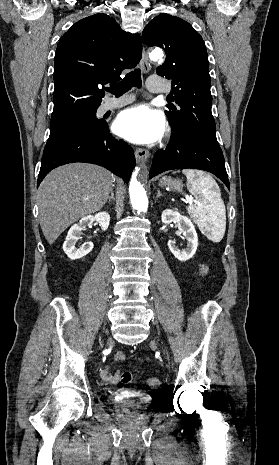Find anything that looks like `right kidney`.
Instances as JSON below:
<instances>
[{"mask_svg": "<svg viewBox=\"0 0 279 465\" xmlns=\"http://www.w3.org/2000/svg\"><path fill=\"white\" fill-rule=\"evenodd\" d=\"M95 221L98 222L101 229L105 231L109 226L110 215L107 212H99L94 216L88 215L81 218L78 223L74 224L69 229L63 244V250L71 260L80 259L93 249L92 242H87L80 248H77L75 245L77 240L80 238L82 231L91 226Z\"/></svg>", "mask_w": 279, "mask_h": 465, "instance_id": "1", "label": "right kidney"}]
</instances>
